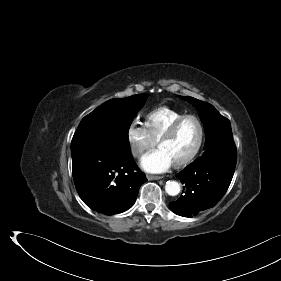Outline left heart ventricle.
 <instances>
[{
	"label": "left heart ventricle",
	"mask_w": 281,
	"mask_h": 281,
	"mask_svg": "<svg viewBox=\"0 0 281 281\" xmlns=\"http://www.w3.org/2000/svg\"><path fill=\"white\" fill-rule=\"evenodd\" d=\"M199 139V127L197 122L192 119L184 120L175 134L159 147L172 160L178 162L187 157L195 148Z\"/></svg>",
	"instance_id": "obj_1"
}]
</instances>
